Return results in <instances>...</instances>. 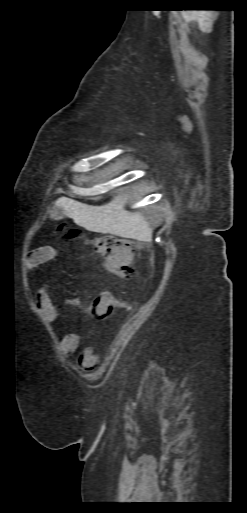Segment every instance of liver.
Masks as SVG:
<instances>
[{
	"label": "liver",
	"mask_w": 247,
	"mask_h": 513,
	"mask_svg": "<svg viewBox=\"0 0 247 513\" xmlns=\"http://www.w3.org/2000/svg\"><path fill=\"white\" fill-rule=\"evenodd\" d=\"M127 199V195H118L106 205L89 206L67 197H61L56 200L53 210L62 208L77 225L89 231L150 241L152 229L139 212L125 209ZM50 218H52L51 214Z\"/></svg>",
	"instance_id": "obj_1"
}]
</instances>
